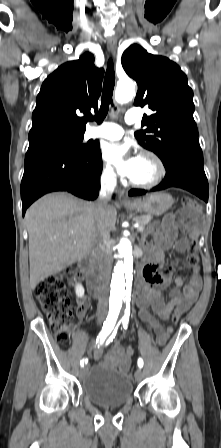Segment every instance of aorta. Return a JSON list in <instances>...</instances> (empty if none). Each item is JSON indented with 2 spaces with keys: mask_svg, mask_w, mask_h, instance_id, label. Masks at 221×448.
I'll return each mask as SVG.
<instances>
[{
  "mask_svg": "<svg viewBox=\"0 0 221 448\" xmlns=\"http://www.w3.org/2000/svg\"><path fill=\"white\" fill-rule=\"evenodd\" d=\"M135 94V84L132 81L121 82L117 85L115 99L118 103L130 101ZM118 252L122 260L118 261L114 267L111 280V308L116 315L119 314L123 301L127 294V288L132 279L133 273V246L131 241L122 237L117 245Z\"/></svg>",
  "mask_w": 221,
  "mask_h": 448,
  "instance_id": "1",
  "label": "aorta"
}]
</instances>
